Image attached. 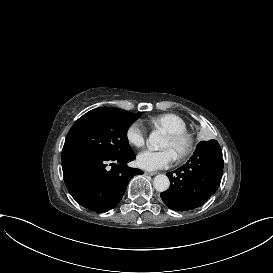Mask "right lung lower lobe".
<instances>
[{"mask_svg": "<svg viewBox=\"0 0 273 273\" xmlns=\"http://www.w3.org/2000/svg\"><path fill=\"white\" fill-rule=\"evenodd\" d=\"M134 159L132 150L114 157L77 156L62 162L64 182L81 206L104 213L120 202L130 179L143 173L127 166Z\"/></svg>", "mask_w": 273, "mask_h": 273, "instance_id": "1", "label": "right lung lower lobe"}]
</instances>
